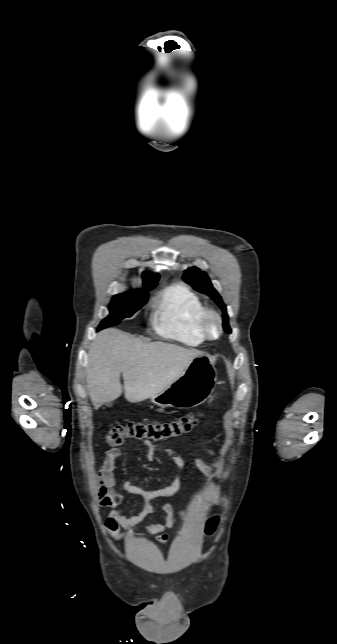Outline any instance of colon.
Masks as SVG:
<instances>
[{"mask_svg": "<svg viewBox=\"0 0 337 644\" xmlns=\"http://www.w3.org/2000/svg\"><path fill=\"white\" fill-rule=\"evenodd\" d=\"M198 422V415L190 413L172 422L143 423L128 421L111 428L106 434V441L112 447L121 445L126 438L143 440H166L176 438L190 432ZM220 518L212 516L206 523L205 532L213 535L218 527Z\"/></svg>", "mask_w": 337, "mask_h": 644, "instance_id": "obj_1", "label": "colon"}]
</instances>
